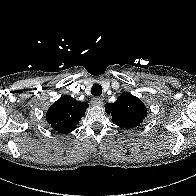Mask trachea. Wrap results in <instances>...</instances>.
<instances>
[{
    "mask_svg": "<svg viewBox=\"0 0 196 196\" xmlns=\"http://www.w3.org/2000/svg\"><path fill=\"white\" fill-rule=\"evenodd\" d=\"M91 93L93 96H100L102 94V87L99 84H94L91 88Z\"/></svg>",
    "mask_w": 196,
    "mask_h": 196,
    "instance_id": "obj_1",
    "label": "trachea"
}]
</instances>
